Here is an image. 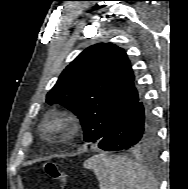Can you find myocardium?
Returning <instances> with one entry per match:
<instances>
[{"instance_id":"myocardium-1","label":"myocardium","mask_w":188,"mask_h":189,"mask_svg":"<svg viewBox=\"0 0 188 189\" xmlns=\"http://www.w3.org/2000/svg\"><path fill=\"white\" fill-rule=\"evenodd\" d=\"M77 124L78 117L72 110H53L41 119L38 132L43 138H59L71 134L77 128Z\"/></svg>"}]
</instances>
